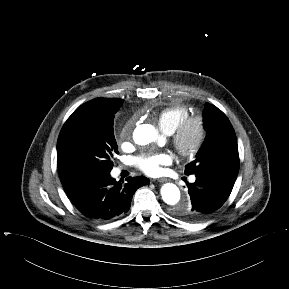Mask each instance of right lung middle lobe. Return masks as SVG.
Segmentation results:
<instances>
[{"mask_svg":"<svg viewBox=\"0 0 289 289\" xmlns=\"http://www.w3.org/2000/svg\"><path fill=\"white\" fill-rule=\"evenodd\" d=\"M122 103L118 98H96L68 118L57 141L61 181L78 183L110 174L113 155L118 154L114 117Z\"/></svg>","mask_w":289,"mask_h":289,"instance_id":"1","label":"right lung middle lobe"}]
</instances>
